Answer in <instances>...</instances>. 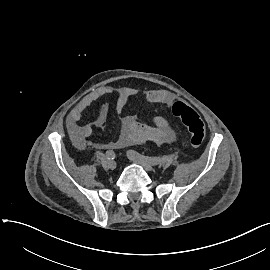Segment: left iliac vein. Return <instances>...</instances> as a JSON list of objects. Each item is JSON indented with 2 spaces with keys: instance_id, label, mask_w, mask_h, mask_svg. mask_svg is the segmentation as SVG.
I'll list each match as a JSON object with an SVG mask.
<instances>
[{
  "instance_id": "obj_1",
  "label": "left iliac vein",
  "mask_w": 270,
  "mask_h": 270,
  "mask_svg": "<svg viewBox=\"0 0 270 270\" xmlns=\"http://www.w3.org/2000/svg\"><path fill=\"white\" fill-rule=\"evenodd\" d=\"M127 156H128V158L132 161V162H134V163H136V164H139V165H141V166H143L146 170H152V164H150L149 162H147V161H145V160H143V159H138V158H136V157H134V156H132L130 153H128L127 152Z\"/></svg>"
}]
</instances>
